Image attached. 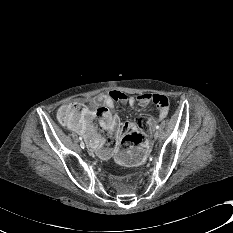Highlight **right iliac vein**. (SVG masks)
<instances>
[{
	"label": "right iliac vein",
	"instance_id": "1",
	"mask_svg": "<svg viewBox=\"0 0 233 233\" xmlns=\"http://www.w3.org/2000/svg\"><path fill=\"white\" fill-rule=\"evenodd\" d=\"M80 144H81V145H83L84 143H83V142H81ZM84 145H85V144H84Z\"/></svg>",
	"mask_w": 233,
	"mask_h": 233
}]
</instances>
